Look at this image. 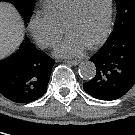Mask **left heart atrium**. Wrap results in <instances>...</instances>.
I'll list each match as a JSON object with an SVG mask.
<instances>
[{"instance_id":"left-heart-atrium-1","label":"left heart atrium","mask_w":135,"mask_h":135,"mask_svg":"<svg viewBox=\"0 0 135 135\" xmlns=\"http://www.w3.org/2000/svg\"><path fill=\"white\" fill-rule=\"evenodd\" d=\"M87 45L73 35L67 34L64 40L58 45L55 55L58 57H73L81 55Z\"/></svg>"}]
</instances>
